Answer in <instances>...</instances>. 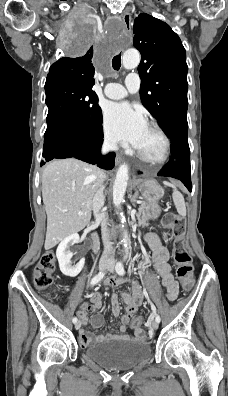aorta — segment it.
I'll use <instances>...</instances> for the list:
<instances>
[{"mask_svg": "<svg viewBox=\"0 0 228 396\" xmlns=\"http://www.w3.org/2000/svg\"><path fill=\"white\" fill-rule=\"evenodd\" d=\"M140 63V54L138 51L129 49L125 51L122 57V64L125 69H134ZM129 180V167L127 164H121L117 170L115 181L113 184V203L117 208H120V204L124 199L125 191ZM121 223H125V216L123 212H120ZM123 246L128 247V234L124 232Z\"/></svg>", "mask_w": 228, "mask_h": 396, "instance_id": "762f6f07", "label": "aorta"}]
</instances>
